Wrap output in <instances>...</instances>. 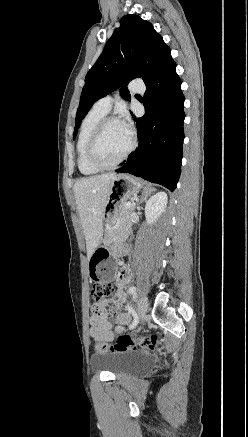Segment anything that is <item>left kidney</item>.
<instances>
[{
  "mask_svg": "<svg viewBox=\"0 0 248 437\" xmlns=\"http://www.w3.org/2000/svg\"><path fill=\"white\" fill-rule=\"evenodd\" d=\"M167 200L165 192H158L146 202L145 216L148 224L154 223L165 211Z\"/></svg>",
  "mask_w": 248,
  "mask_h": 437,
  "instance_id": "1",
  "label": "left kidney"
}]
</instances>
